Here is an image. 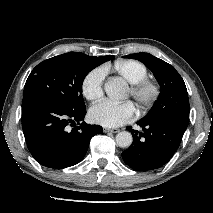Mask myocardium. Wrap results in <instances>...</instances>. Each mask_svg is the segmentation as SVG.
I'll return each mask as SVG.
<instances>
[{"instance_id": "obj_1", "label": "myocardium", "mask_w": 213, "mask_h": 213, "mask_svg": "<svg viewBox=\"0 0 213 213\" xmlns=\"http://www.w3.org/2000/svg\"><path fill=\"white\" fill-rule=\"evenodd\" d=\"M160 93L159 84L148 78L132 83L130 86V95L142 110L151 107L159 98Z\"/></svg>"}]
</instances>
